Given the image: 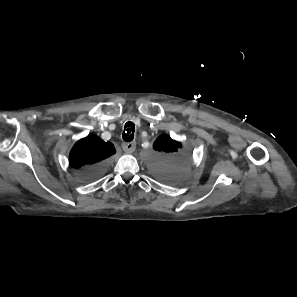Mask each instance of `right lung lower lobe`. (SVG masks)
Returning <instances> with one entry per match:
<instances>
[{
    "label": "right lung lower lobe",
    "mask_w": 297,
    "mask_h": 297,
    "mask_svg": "<svg viewBox=\"0 0 297 297\" xmlns=\"http://www.w3.org/2000/svg\"><path fill=\"white\" fill-rule=\"evenodd\" d=\"M107 167L106 162L98 163L96 165L85 168L81 171V178L84 181H92L100 177Z\"/></svg>",
    "instance_id": "right-lung-lower-lobe-1"
}]
</instances>
